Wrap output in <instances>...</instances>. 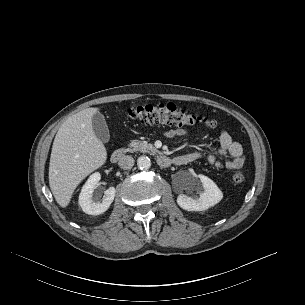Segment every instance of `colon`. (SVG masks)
Returning <instances> with one entry per match:
<instances>
[{"instance_id": "5ec220e1", "label": "colon", "mask_w": 305, "mask_h": 305, "mask_svg": "<svg viewBox=\"0 0 305 305\" xmlns=\"http://www.w3.org/2000/svg\"><path fill=\"white\" fill-rule=\"evenodd\" d=\"M129 116L131 119L143 125L169 124L178 127L205 125L212 129L217 127V122L215 120L190 113L173 103L134 106L130 108ZM244 180L245 175L242 171H236L234 173L233 181L236 184H240Z\"/></svg>"}]
</instances>
